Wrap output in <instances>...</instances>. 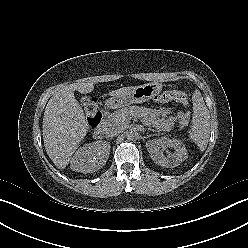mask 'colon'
<instances>
[{
    "label": "colon",
    "instance_id": "5ec220e1",
    "mask_svg": "<svg viewBox=\"0 0 248 248\" xmlns=\"http://www.w3.org/2000/svg\"><path fill=\"white\" fill-rule=\"evenodd\" d=\"M159 103L177 101L185 106L189 104L188 95L183 91H165L155 98ZM83 107L86 113L87 122L91 127H94L99 118L101 111L99 109L98 101L95 97H85L82 100Z\"/></svg>",
    "mask_w": 248,
    "mask_h": 248
}]
</instances>
